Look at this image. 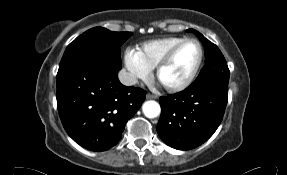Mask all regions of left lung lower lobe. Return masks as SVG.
Listing matches in <instances>:
<instances>
[{
    "label": "left lung lower lobe",
    "instance_id": "obj_1",
    "mask_svg": "<svg viewBox=\"0 0 287 175\" xmlns=\"http://www.w3.org/2000/svg\"><path fill=\"white\" fill-rule=\"evenodd\" d=\"M160 138L170 147L190 150L207 141L219 127L228 101V85L208 83L161 97Z\"/></svg>",
    "mask_w": 287,
    "mask_h": 175
}]
</instances>
